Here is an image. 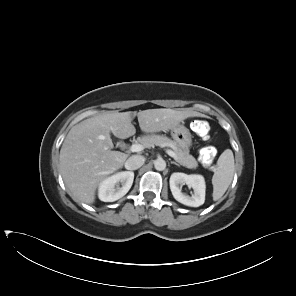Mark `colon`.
Wrapping results in <instances>:
<instances>
[{
  "mask_svg": "<svg viewBox=\"0 0 296 296\" xmlns=\"http://www.w3.org/2000/svg\"><path fill=\"white\" fill-rule=\"evenodd\" d=\"M191 130L199 135L206 136L208 134V125L202 120H193L190 124ZM214 156V149L212 147H205L200 152V159L203 163L209 162Z\"/></svg>",
  "mask_w": 296,
  "mask_h": 296,
  "instance_id": "5ec220e1",
  "label": "colon"
}]
</instances>
